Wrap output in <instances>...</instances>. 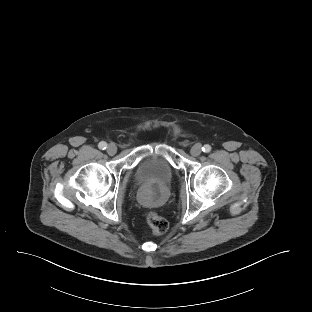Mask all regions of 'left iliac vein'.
<instances>
[{"mask_svg":"<svg viewBox=\"0 0 312 312\" xmlns=\"http://www.w3.org/2000/svg\"><path fill=\"white\" fill-rule=\"evenodd\" d=\"M201 152H202V148L200 144H195L194 146H192L190 150V154L194 157L199 156Z\"/></svg>","mask_w":312,"mask_h":312,"instance_id":"left-iliac-vein-1","label":"left iliac vein"}]
</instances>
